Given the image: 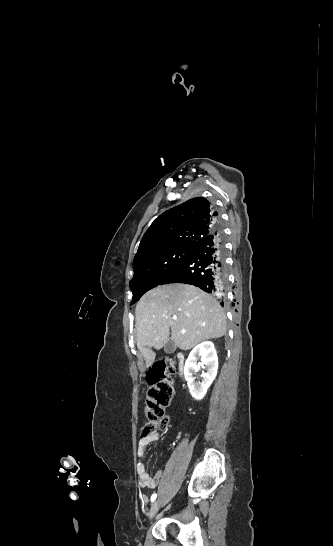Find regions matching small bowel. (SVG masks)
I'll return each instance as SVG.
<instances>
[{"label":"small bowel","mask_w":333,"mask_h":546,"mask_svg":"<svg viewBox=\"0 0 333 546\" xmlns=\"http://www.w3.org/2000/svg\"><path fill=\"white\" fill-rule=\"evenodd\" d=\"M160 439L159 434H151L146 437H142L138 444V455L143 457L146 452V448L152 442L158 441ZM138 481L139 485L142 488L155 489L164 474V469L159 470L154 476H151L147 471V467L144 463H139L137 465ZM148 496H143V502L147 503Z\"/></svg>","instance_id":"c3829d8e"}]
</instances>
